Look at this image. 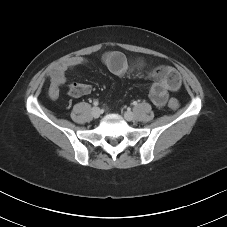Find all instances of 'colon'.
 <instances>
[{"label":"colon","instance_id":"1","mask_svg":"<svg viewBox=\"0 0 227 227\" xmlns=\"http://www.w3.org/2000/svg\"><path fill=\"white\" fill-rule=\"evenodd\" d=\"M157 77L164 83L170 86H178L180 79L177 71L169 66H161L157 69ZM168 106L172 110L179 108V102L175 98H171L168 101Z\"/></svg>","mask_w":227,"mask_h":227}]
</instances>
